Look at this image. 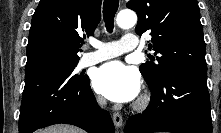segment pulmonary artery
Wrapping results in <instances>:
<instances>
[{
  "label": "pulmonary artery",
  "instance_id": "1",
  "mask_svg": "<svg viewBox=\"0 0 221 133\" xmlns=\"http://www.w3.org/2000/svg\"><path fill=\"white\" fill-rule=\"evenodd\" d=\"M90 44L94 48V51L83 54L79 61L80 67L94 65L104 60L117 57L123 53L134 51L138 48L139 42L136 35L127 33L120 42H101L94 40L91 41Z\"/></svg>",
  "mask_w": 221,
  "mask_h": 133
}]
</instances>
